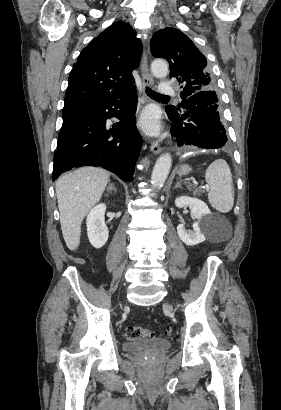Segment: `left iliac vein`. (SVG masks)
<instances>
[{
	"label": "left iliac vein",
	"mask_w": 281,
	"mask_h": 410,
	"mask_svg": "<svg viewBox=\"0 0 281 410\" xmlns=\"http://www.w3.org/2000/svg\"><path fill=\"white\" fill-rule=\"evenodd\" d=\"M165 307L168 308V309H170V310L172 309V306L169 305V304H165Z\"/></svg>",
	"instance_id": "left-iliac-vein-1"
}]
</instances>
